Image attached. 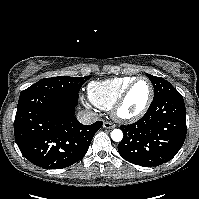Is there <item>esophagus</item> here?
<instances>
[{"instance_id": "esophagus-1", "label": "esophagus", "mask_w": 199, "mask_h": 199, "mask_svg": "<svg viewBox=\"0 0 199 199\" xmlns=\"http://www.w3.org/2000/svg\"><path fill=\"white\" fill-rule=\"evenodd\" d=\"M103 127L107 128V129H113V128L116 127V125L114 123L105 121L104 124H103Z\"/></svg>"}]
</instances>
